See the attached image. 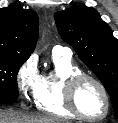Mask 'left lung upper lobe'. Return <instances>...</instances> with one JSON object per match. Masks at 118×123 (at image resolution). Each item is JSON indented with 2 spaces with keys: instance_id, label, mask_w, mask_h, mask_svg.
<instances>
[{
  "instance_id": "left-lung-upper-lobe-1",
  "label": "left lung upper lobe",
  "mask_w": 118,
  "mask_h": 123,
  "mask_svg": "<svg viewBox=\"0 0 118 123\" xmlns=\"http://www.w3.org/2000/svg\"><path fill=\"white\" fill-rule=\"evenodd\" d=\"M54 17L62 39L103 83L118 118V40L111 28L94 8L83 5L59 11Z\"/></svg>"
}]
</instances>
